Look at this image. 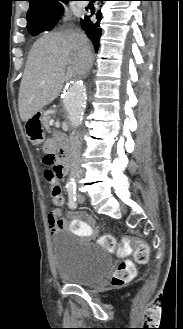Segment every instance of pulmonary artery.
Listing matches in <instances>:
<instances>
[{
	"mask_svg": "<svg viewBox=\"0 0 183 329\" xmlns=\"http://www.w3.org/2000/svg\"><path fill=\"white\" fill-rule=\"evenodd\" d=\"M81 7H84V5H83V4H81Z\"/></svg>",
	"mask_w": 183,
	"mask_h": 329,
	"instance_id": "obj_1",
	"label": "pulmonary artery"
}]
</instances>
